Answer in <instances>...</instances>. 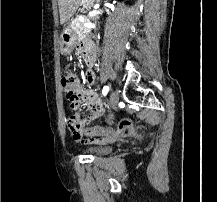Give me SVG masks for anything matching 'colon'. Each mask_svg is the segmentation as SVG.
Listing matches in <instances>:
<instances>
[{
	"label": "colon",
	"instance_id": "colon-1",
	"mask_svg": "<svg viewBox=\"0 0 217 202\" xmlns=\"http://www.w3.org/2000/svg\"><path fill=\"white\" fill-rule=\"evenodd\" d=\"M62 73L64 74L62 77V89L70 103L71 109H77L80 101L84 99V96H77L81 94V91L75 90L73 87V82H77L79 78L70 69H63ZM66 126L69 131H74V126H78L73 115L68 116L66 119ZM132 126V121L126 118L119 123V127L126 130L120 131L118 127H91L90 129L84 127L82 130L84 131V138H91V132H117L119 135H133L135 132L132 130Z\"/></svg>",
	"mask_w": 217,
	"mask_h": 202
}]
</instances>
